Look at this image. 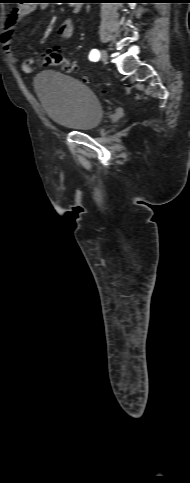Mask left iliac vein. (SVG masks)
<instances>
[{
  "instance_id": "left-iliac-vein-1",
  "label": "left iliac vein",
  "mask_w": 190,
  "mask_h": 483,
  "mask_svg": "<svg viewBox=\"0 0 190 483\" xmlns=\"http://www.w3.org/2000/svg\"><path fill=\"white\" fill-rule=\"evenodd\" d=\"M100 59L103 63H107L108 62V53L106 50H102L101 51V55H100Z\"/></svg>"
}]
</instances>
